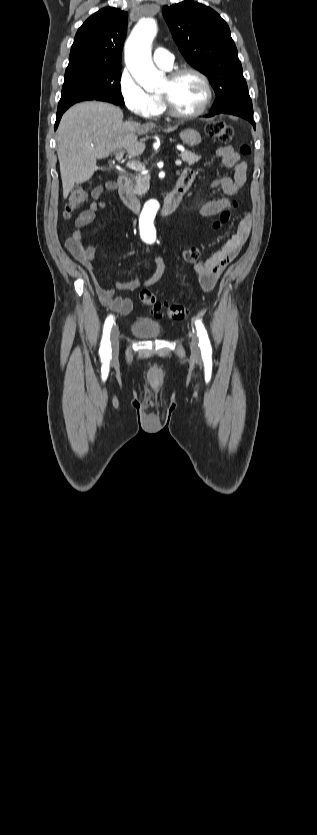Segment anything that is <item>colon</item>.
<instances>
[{"label": "colon", "instance_id": "obj_1", "mask_svg": "<svg viewBox=\"0 0 317 835\" xmlns=\"http://www.w3.org/2000/svg\"><path fill=\"white\" fill-rule=\"evenodd\" d=\"M206 131L208 135L217 139L222 143H228L232 140L234 132L233 128L230 125H227L224 122H213L210 123ZM240 153L244 156L250 153V149L247 145H242L239 149ZM86 192L80 186H75L71 189L68 201L64 210L65 218L69 219L72 217L73 213L80 207V205L85 201ZM236 207V203H233L232 206L226 210H224L219 219L214 223V228H219L221 225H224L229 222L231 218L232 209ZM77 251H81L84 249L82 245L76 248ZM200 255L199 249L197 247H188L184 249L183 256L188 261L197 260ZM140 301L148 305L152 308L154 314L156 316H167L170 319L174 320H181L187 314V308L182 304H164L160 302L156 296L149 290L143 289L139 293Z\"/></svg>", "mask_w": 317, "mask_h": 835}]
</instances>
